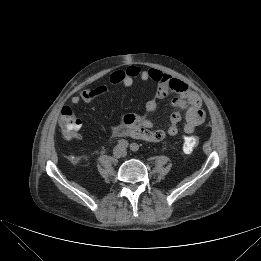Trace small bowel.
I'll return each instance as SVG.
<instances>
[{"instance_id":"obj_1","label":"small bowel","mask_w":261,"mask_h":261,"mask_svg":"<svg viewBox=\"0 0 261 261\" xmlns=\"http://www.w3.org/2000/svg\"><path fill=\"white\" fill-rule=\"evenodd\" d=\"M156 82V92L154 98L145 105V114L130 113L124 116L123 120L112 128V134L116 137H133L148 142H160L167 137L176 136L179 133V125L184 118L183 131L191 134L196 127L201 125L206 118V112L202 107V101L197 93L192 91L186 83L175 79L157 69L143 70L137 66H129L125 69L113 71L109 76L111 85L131 86L135 80ZM109 87L101 84L89 87L73 96L71 102L78 105L81 102L89 103L96 98H106ZM174 93L172 106L176 109L169 118L166 129L154 130V121L149 117L157 109V101ZM81 124L79 125L80 128ZM75 138L81 135L75 133Z\"/></svg>"}]
</instances>
